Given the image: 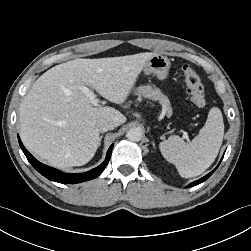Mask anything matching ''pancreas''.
Segmentation results:
<instances>
[{"mask_svg": "<svg viewBox=\"0 0 251 251\" xmlns=\"http://www.w3.org/2000/svg\"><path fill=\"white\" fill-rule=\"evenodd\" d=\"M135 95L139 97L148 98L151 100L159 101L163 106L164 112L170 116L172 114V107L170 101L166 95H164L159 88L152 85L139 86L134 91Z\"/></svg>", "mask_w": 251, "mask_h": 251, "instance_id": "cf45deb5", "label": "pancreas"}]
</instances>
